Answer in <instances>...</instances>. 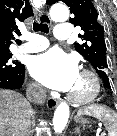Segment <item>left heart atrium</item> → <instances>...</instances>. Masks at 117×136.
I'll return each mask as SVG.
<instances>
[{
	"label": "left heart atrium",
	"instance_id": "39dd6f15",
	"mask_svg": "<svg viewBox=\"0 0 117 136\" xmlns=\"http://www.w3.org/2000/svg\"><path fill=\"white\" fill-rule=\"evenodd\" d=\"M29 70L45 87L65 92L71 91L79 76L75 58L58 48L34 56Z\"/></svg>",
	"mask_w": 117,
	"mask_h": 136
}]
</instances>
